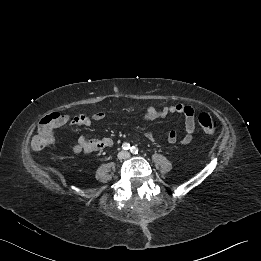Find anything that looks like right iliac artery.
<instances>
[{
	"label": "right iliac artery",
	"mask_w": 261,
	"mask_h": 261,
	"mask_svg": "<svg viewBox=\"0 0 261 261\" xmlns=\"http://www.w3.org/2000/svg\"><path fill=\"white\" fill-rule=\"evenodd\" d=\"M122 148H123V150H129V149H131L129 143H123Z\"/></svg>",
	"instance_id": "obj_1"
}]
</instances>
